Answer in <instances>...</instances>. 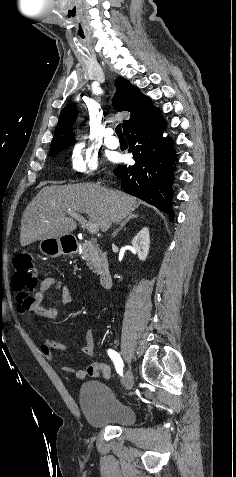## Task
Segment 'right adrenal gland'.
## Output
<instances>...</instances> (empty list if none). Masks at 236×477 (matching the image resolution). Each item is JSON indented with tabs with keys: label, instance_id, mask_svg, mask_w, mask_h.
<instances>
[{
	"label": "right adrenal gland",
	"instance_id": "obj_1",
	"mask_svg": "<svg viewBox=\"0 0 236 477\" xmlns=\"http://www.w3.org/2000/svg\"><path fill=\"white\" fill-rule=\"evenodd\" d=\"M137 217H138L137 214H130L122 223H120L119 228L113 233L112 237H115V236L118 234V232H119L120 230H122L123 227H124L131 219H134V218H137Z\"/></svg>",
	"mask_w": 236,
	"mask_h": 477
}]
</instances>
